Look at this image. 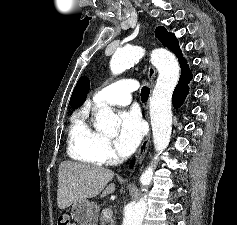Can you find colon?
<instances>
[{
	"label": "colon",
	"mask_w": 237,
	"mask_h": 225,
	"mask_svg": "<svg viewBox=\"0 0 237 225\" xmlns=\"http://www.w3.org/2000/svg\"><path fill=\"white\" fill-rule=\"evenodd\" d=\"M57 225H75L68 216H60Z\"/></svg>",
	"instance_id": "obj_1"
}]
</instances>
